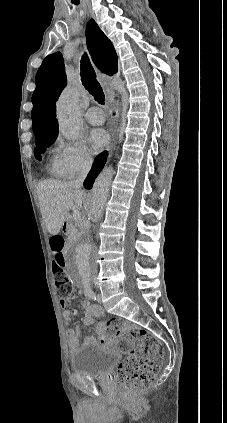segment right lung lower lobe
<instances>
[{
    "instance_id": "1",
    "label": "right lung lower lobe",
    "mask_w": 227,
    "mask_h": 423,
    "mask_svg": "<svg viewBox=\"0 0 227 423\" xmlns=\"http://www.w3.org/2000/svg\"><path fill=\"white\" fill-rule=\"evenodd\" d=\"M106 157H107V152L104 151L101 154H99L92 166V169L90 171V173L88 174L87 178L84 181V187L87 189H91L92 185L94 183L95 178L97 177V175L99 174V172L101 171V169L103 168L105 162H106Z\"/></svg>"
}]
</instances>
